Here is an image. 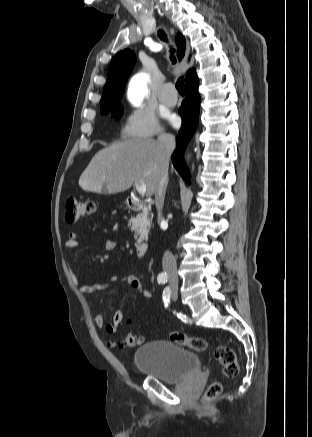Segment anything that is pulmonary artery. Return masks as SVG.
<instances>
[{
    "label": "pulmonary artery",
    "instance_id": "e3ab8cb5",
    "mask_svg": "<svg viewBox=\"0 0 312 437\" xmlns=\"http://www.w3.org/2000/svg\"><path fill=\"white\" fill-rule=\"evenodd\" d=\"M171 83L165 84L158 95L159 100L166 106H174L177 103V93L173 91Z\"/></svg>",
    "mask_w": 312,
    "mask_h": 437
}]
</instances>
